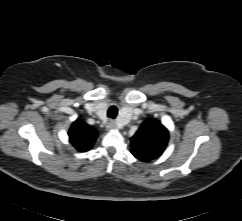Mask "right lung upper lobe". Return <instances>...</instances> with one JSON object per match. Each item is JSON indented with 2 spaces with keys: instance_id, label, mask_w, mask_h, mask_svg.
<instances>
[{
  "instance_id": "1",
  "label": "right lung upper lobe",
  "mask_w": 242,
  "mask_h": 221,
  "mask_svg": "<svg viewBox=\"0 0 242 221\" xmlns=\"http://www.w3.org/2000/svg\"><path fill=\"white\" fill-rule=\"evenodd\" d=\"M97 137V131L80 120L75 121L69 131L70 142L78 151L89 150Z\"/></svg>"
}]
</instances>
